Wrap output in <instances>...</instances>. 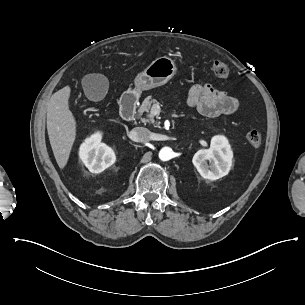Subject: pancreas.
Listing matches in <instances>:
<instances>
[{"label":"pancreas","mask_w":305,"mask_h":305,"mask_svg":"<svg viewBox=\"0 0 305 305\" xmlns=\"http://www.w3.org/2000/svg\"><path fill=\"white\" fill-rule=\"evenodd\" d=\"M153 103H157L156 99H152L151 96H148L144 99L141 106L139 107L137 118L141 119L143 123L155 124V120H154L155 114L153 112H149L151 105ZM144 112H147L146 114L147 118H142Z\"/></svg>","instance_id":"1"}]
</instances>
